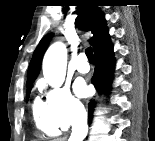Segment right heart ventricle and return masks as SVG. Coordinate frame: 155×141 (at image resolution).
<instances>
[{"label":"right heart ventricle","instance_id":"e07e8e85","mask_svg":"<svg viewBox=\"0 0 155 141\" xmlns=\"http://www.w3.org/2000/svg\"><path fill=\"white\" fill-rule=\"evenodd\" d=\"M33 116L36 127L42 133L49 136H56L60 133L59 126L53 119L47 104L38 98L33 103Z\"/></svg>","mask_w":155,"mask_h":141}]
</instances>
